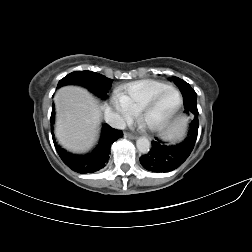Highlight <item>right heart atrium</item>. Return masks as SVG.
Masks as SVG:
<instances>
[{
    "instance_id": "obj_1",
    "label": "right heart atrium",
    "mask_w": 252,
    "mask_h": 252,
    "mask_svg": "<svg viewBox=\"0 0 252 252\" xmlns=\"http://www.w3.org/2000/svg\"><path fill=\"white\" fill-rule=\"evenodd\" d=\"M110 102L116 125L123 126L130 122L135 116V110L132 108L127 98L119 91H115L112 94Z\"/></svg>"
}]
</instances>
